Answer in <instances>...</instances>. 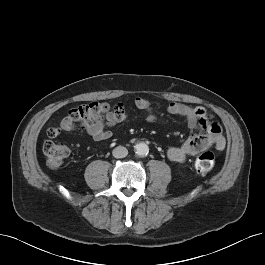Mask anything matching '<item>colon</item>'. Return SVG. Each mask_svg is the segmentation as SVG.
Returning a JSON list of instances; mask_svg holds the SVG:
<instances>
[{"instance_id":"obj_1","label":"colon","mask_w":265,"mask_h":265,"mask_svg":"<svg viewBox=\"0 0 265 265\" xmlns=\"http://www.w3.org/2000/svg\"><path fill=\"white\" fill-rule=\"evenodd\" d=\"M118 107L109 103L93 102L73 108L64 117L58 126L50 127L47 130L49 138H56L62 132L72 130L76 124L86 125L90 122L114 116ZM221 128L218 123L211 126L212 133H219ZM43 153L46 164L50 168L60 167L69 156V148L64 143L46 141L43 146ZM215 165V155L212 151L201 153L195 160V168L201 174L209 173Z\"/></svg>"}]
</instances>
